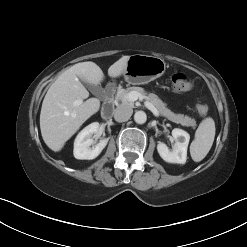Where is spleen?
I'll list each match as a JSON object with an SVG mask.
<instances>
[{
	"instance_id": "obj_1",
	"label": "spleen",
	"mask_w": 247,
	"mask_h": 247,
	"mask_svg": "<svg viewBox=\"0 0 247 247\" xmlns=\"http://www.w3.org/2000/svg\"><path fill=\"white\" fill-rule=\"evenodd\" d=\"M215 122L211 117L202 120L190 145V154L195 162L203 160L210 151L215 138Z\"/></svg>"
}]
</instances>
